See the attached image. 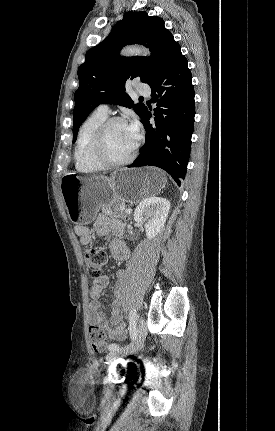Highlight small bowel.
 <instances>
[{"mask_svg": "<svg viewBox=\"0 0 275 431\" xmlns=\"http://www.w3.org/2000/svg\"><path fill=\"white\" fill-rule=\"evenodd\" d=\"M94 231L100 236H108L110 233L121 235L123 233V226L119 221L101 217L95 225ZM75 233L79 236L82 245H89L92 242V230L87 226L77 225ZM109 248L112 256L118 261H125L130 256V249L126 243L119 239L110 241ZM119 272V276H122ZM110 287V281L107 276H100L96 278L90 287L91 301L89 304L88 320L91 325H98L101 327L109 339L113 341H121L126 336V329L121 321V303L119 300L113 301L110 307V317L107 318L102 310V303L100 301L101 293ZM119 295L120 292L116 291Z\"/></svg>", "mask_w": 275, "mask_h": 431, "instance_id": "c3829d8e", "label": "small bowel"}]
</instances>
